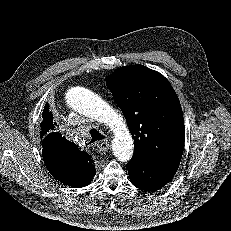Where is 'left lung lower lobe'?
<instances>
[{
  "label": "left lung lower lobe",
  "instance_id": "obj_1",
  "mask_svg": "<svg viewBox=\"0 0 231 231\" xmlns=\"http://www.w3.org/2000/svg\"><path fill=\"white\" fill-rule=\"evenodd\" d=\"M179 164H165L141 157L130 161L127 168L133 185L144 191H156L170 182Z\"/></svg>",
  "mask_w": 231,
  "mask_h": 231
}]
</instances>
